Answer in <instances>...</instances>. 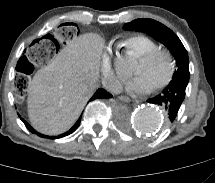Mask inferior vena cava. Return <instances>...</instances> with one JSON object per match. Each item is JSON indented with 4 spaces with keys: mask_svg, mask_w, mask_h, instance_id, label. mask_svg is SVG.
Wrapping results in <instances>:
<instances>
[{
    "mask_svg": "<svg viewBox=\"0 0 215 183\" xmlns=\"http://www.w3.org/2000/svg\"><path fill=\"white\" fill-rule=\"evenodd\" d=\"M102 83H103V85H104V86H106V85H107V82H106V81H103Z\"/></svg>",
    "mask_w": 215,
    "mask_h": 183,
    "instance_id": "602c4592",
    "label": "inferior vena cava"
}]
</instances>
